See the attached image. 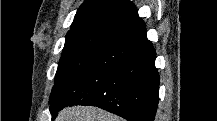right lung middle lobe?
I'll list each match as a JSON object with an SVG mask.
<instances>
[{"label": "right lung middle lobe", "instance_id": "dd1d6c3e", "mask_svg": "<svg viewBox=\"0 0 217 121\" xmlns=\"http://www.w3.org/2000/svg\"><path fill=\"white\" fill-rule=\"evenodd\" d=\"M125 26L123 22L98 21L71 29L66 35L50 99L83 73Z\"/></svg>", "mask_w": 217, "mask_h": 121}]
</instances>
